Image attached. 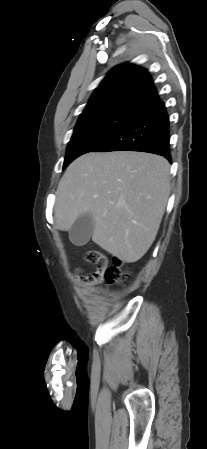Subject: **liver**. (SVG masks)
I'll list each match as a JSON object with an SVG mask.
<instances>
[{
	"mask_svg": "<svg viewBox=\"0 0 207 449\" xmlns=\"http://www.w3.org/2000/svg\"><path fill=\"white\" fill-rule=\"evenodd\" d=\"M169 170L165 158L149 153L82 155L59 182L55 227L70 230L88 213L93 242L123 262H136L157 235L170 194Z\"/></svg>",
	"mask_w": 207,
	"mask_h": 449,
	"instance_id": "liver-1",
	"label": "liver"
}]
</instances>
